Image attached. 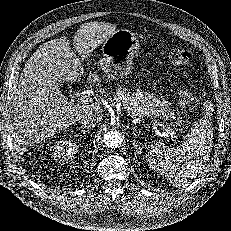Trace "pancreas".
Listing matches in <instances>:
<instances>
[{
	"label": "pancreas",
	"instance_id": "pancreas-1",
	"mask_svg": "<svg viewBox=\"0 0 231 231\" xmlns=\"http://www.w3.org/2000/svg\"><path fill=\"white\" fill-rule=\"evenodd\" d=\"M121 103L131 117L155 116L167 120L174 116L169 102L140 89L128 90L118 87L110 99Z\"/></svg>",
	"mask_w": 231,
	"mask_h": 231
}]
</instances>
